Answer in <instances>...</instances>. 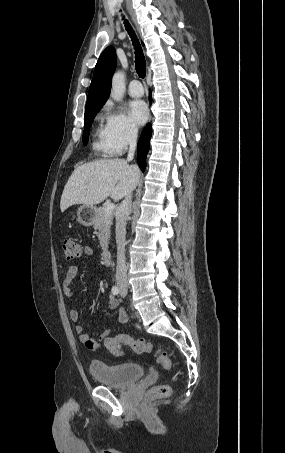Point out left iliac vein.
<instances>
[{"mask_svg":"<svg viewBox=\"0 0 285 453\" xmlns=\"http://www.w3.org/2000/svg\"><path fill=\"white\" fill-rule=\"evenodd\" d=\"M126 294H127V289H126V288H124V289L121 288L120 295H121L122 297H125Z\"/></svg>","mask_w":285,"mask_h":453,"instance_id":"left-iliac-vein-1","label":"left iliac vein"}]
</instances>
